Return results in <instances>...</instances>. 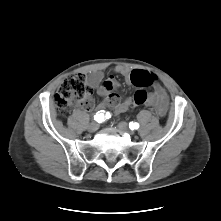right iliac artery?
Instances as JSON below:
<instances>
[{
  "label": "right iliac artery",
  "mask_w": 221,
  "mask_h": 221,
  "mask_svg": "<svg viewBox=\"0 0 221 221\" xmlns=\"http://www.w3.org/2000/svg\"><path fill=\"white\" fill-rule=\"evenodd\" d=\"M104 111H99L98 113H96V115L94 116L95 121H97L98 123H101L104 121Z\"/></svg>",
  "instance_id": "82829eb1"
}]
</instances>
